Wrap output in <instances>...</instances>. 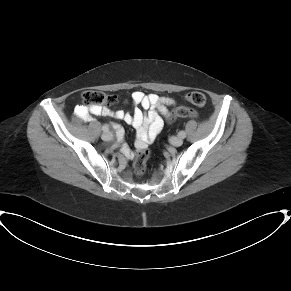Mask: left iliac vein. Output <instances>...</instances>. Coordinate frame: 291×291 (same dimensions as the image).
Instances as JSON below:
<instances>
[{"label": "left iliac vein", "mask_w": 291, "mask_h": 291, "mask_svg": "<svg viewBox=\"0 0 291 291\" xmlns=\"http://www.w3.org/2000/svg\"><path fill=\"white\" fill-rule=\"evenodd\" d=\"M170 143L174 146H180L183 143V139L180 137L173 136L170 138Z\"/></svg>", "instance_id": "1"}]
</instances>
